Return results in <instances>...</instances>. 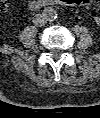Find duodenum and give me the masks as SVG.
Here are the masks:
<instances>
[{
    "instance_id": "410a0bca",
    "label": "duodenum",
    "mask_w": 100,
    "mask_h": 118,
    "mask_svg": "<svg viewBox=\"0 0 100 118\" xmlns=\"http://www.w3.org/2000/svg\"><path fill=\"white\" fill-rule=\"evenodd\" d=\"M66 0H33L30 2V8H39L51 5H62L65 4Z\"/></svg>"
}]
</instances>
